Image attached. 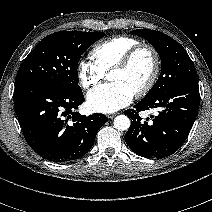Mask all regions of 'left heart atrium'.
Returning a JSON list of instances; mask_svg holds the SVG:
<instances>
[{
    "label": "left heart atrium",
    "mask_w": 212,
    "mask_h": 212,
    "mask_svg": "<svg viewBox=\"0 0 212 212\" xmlns=\"http://www.w3.org/2000/svg\"><path fill=\"white\" fill-rule=\"evenodd\" d=\"M135 92L120 82L111 81L90 90L87 105L95 112L112 113L129 105Z\"/></svg>",
    "instance_id": "1"
}]
</instances>
